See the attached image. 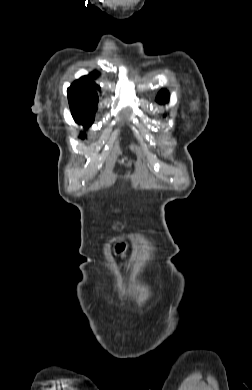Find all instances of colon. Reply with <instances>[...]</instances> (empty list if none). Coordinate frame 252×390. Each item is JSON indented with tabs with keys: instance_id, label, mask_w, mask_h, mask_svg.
<instances>
[{
	"instance_id": "1",
	"label": "colon",
	"mask_w": 252,
	"mask_h": 390,
	"mask_svg": "<svg viewBox=\"0 0 252 390\" xmlns=\"http://www.w3.org/2000/svg\"><path fill=\"white\" fill-rule=\"evenodd\" d=\"M125 244L124 243H118L117 244V251L118 252H124L125 251Z\"/></svg>"
}]
</instances>
